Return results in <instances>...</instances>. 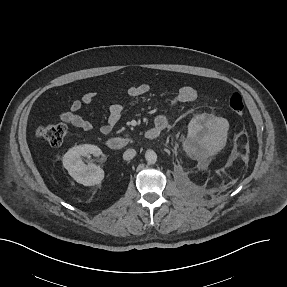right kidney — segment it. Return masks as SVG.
<instances>
[{
	"label": "right kidney",
	"mask_w": 287,
	"mask_h": 287,
	"mask_svg": "<svg viewBox=\"0 0 287 287\" xmlns=\"http://www.w3.org/2000/svg\"><path fill=\"white\" fill-rule=\"evenodd\" d=\"M92 154L100 156L102 151L100 148L90 144L75 146L68 150L63 156V166L69 175L84 186H94L100 184L104 179V171L95 164L86 165L81 157Z\"/></svg>",
	"instance_id": "ca27d5eb"
}]
</instances>
